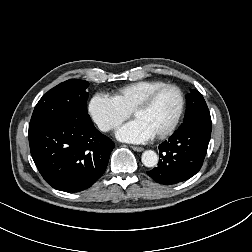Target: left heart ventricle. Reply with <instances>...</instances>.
Wrapping results in <instances>:
<instances>
[{
  "mask_svg": "<svg viewBox=\"0 0 252 252\" xmlns=\"http://www.w3.org/2000/svg\"><path fill=\"white\" fill-rule=\"evenodd\" d=\"M179 107V96L173 89L160 92L151 105L136 112L134 119L141 120L156 135L167 129L174 120Z\"/></svg>",
  "mask_w": 252,
  "mask_h": 252,
  "instance_id": "b2bd125f",
  "label": "left heart ventricle"
}]
</instances>
